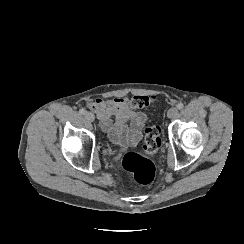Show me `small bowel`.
<instances>
[{
    "instance_id": "small-bowel-1",
    "label": "small bowel",
    "mask_w": 244,
    "mask_h": 244,
    "mask_svg": "<svg viewBox=\"0 0 244 244\" xmlns=\"http://www.w3.org/2000/svg\"><path fill=\"white\" fill-rule=\"evenodd\" d=\"M87 106L96 115L101 129L119 149L139 143L148 116L133 110L127 97L96 99L88 102Z\"/></svg>"
}]
</instances>
